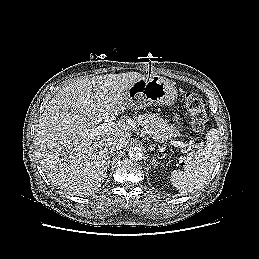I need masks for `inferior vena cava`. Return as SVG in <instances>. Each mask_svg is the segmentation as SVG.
<instances>
[{"label": "inferior vena cava", "instance_id": "1", "mask_svg": "<svg viewBox=\"0 0 259 259\" xmlns=\"http://www.w3.org/2000/svg\"><path fill=\"white\" fill-rule=\"evenodd\" d=\"M107 146L111 151L120 150L123 147V142L119 139H111L107 142Z\"/></svg>", "mask_w": 259, "mask_h": 259}]
</instances>
